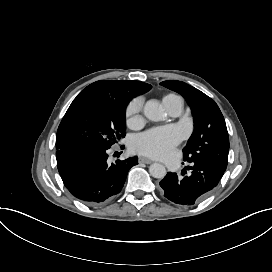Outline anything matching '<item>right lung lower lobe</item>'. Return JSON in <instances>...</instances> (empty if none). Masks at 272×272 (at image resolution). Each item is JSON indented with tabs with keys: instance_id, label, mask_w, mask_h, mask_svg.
<instances>
[{
	"instance_id": "right-lung-lower-lobe-1",
	"label": "right lung lower lobe",
	"mask_w": 272,
	"mask_h": 272,
	"mask_svg": "<svg viewBox=\"0 0 272 272\" xmlns=\"http://www.w3.org/2000/svg\"><path fill=\"white\" fill-rule=\"evenodd\" d=\"M108 150V149H107ZM107 150L81 147L57 150V167L68 191L87 205H101L123 188L137 157L107 163Z\"/></svg>"
}]
</instances>
